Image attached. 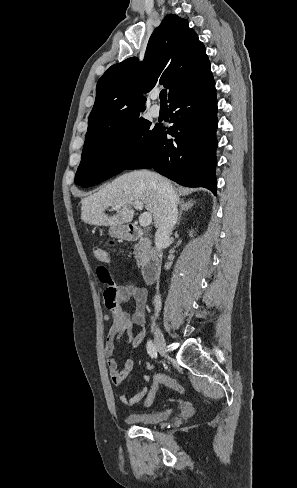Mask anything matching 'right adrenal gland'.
<instances>
[{
  "label": "right adrenal gland",
  "instance_id": "2a0ac1e0",
  "mask_svg": "<svg viewBox=\"0 0 297 488\" xmlns=\"http://www.w3.org/2000/svg\"><path fill=\"white\" fill-rule=\"evenodd\" d=\"M193 204H195V201H193V200H189L188 202H184L182 200L179 202L180 210H179V216H178L177 223H176L177 225L180 224L182 213L184 211L189 210L193 206Z\"/></svg>",
  "mask_w": 297,
  "mask_h": 488
}]
</instances>
